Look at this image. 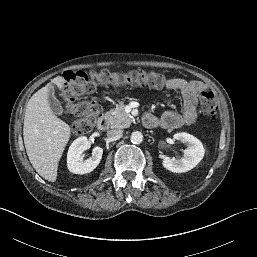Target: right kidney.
<instances>
[{
    "instance_id": "1",
    "label": "right kidney",
    "mask_w": 257,
    "mask_h": 257,
    "mask_svg": "<svg viewBox=\"0 0 257 257\" xmlns=\"http://www.w3.org/2000/svg\"><path fill=\"white\" fill-rule=\"evenodd\" d=\"M89 146L87 137L77 138L69 147L67 153V166L70 172L74 174H86L92 172L100 163L103 149L95 147L92 150V156L85 161L81 160V155Z\"/></svg>"
}]
</instances>
